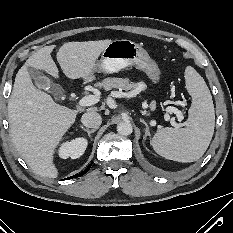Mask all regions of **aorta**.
Instances as JSON below:
<instances>
[{
	"label": "aorta",
	"mask_w": 233,
	"mask_h": 233,
	"mask_svg": "<svg viewBox=\"0 0 233 233\" xmlns=\"http://www.w3.org/2000/svg\"><path fill=\"white\" fill-rule=\"evenodd\" d=\"M132 131H133L132 125L128 121L120 122L117 125V132L120 135L128 136V135H130L132 133Z\"/></svg>",
	"instance_id": "762f6f07"
}]
</instances>
